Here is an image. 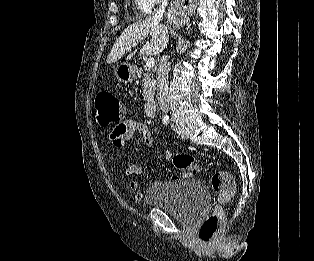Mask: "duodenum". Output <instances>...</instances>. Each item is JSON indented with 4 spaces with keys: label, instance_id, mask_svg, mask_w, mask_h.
Wrapping results in <instances>:
<instances>
[{
    "label": "duodenum",
    "instance_id": "obj_1",
    "mask_svg": "<svg viewBox=\"0 0 314 261\" xmlns=\"http://www.w3.org/2000/svg\"><path fill=\"white\" fill-rule=\"evenodd\" d=\"M144 113L147 117L153 118L156 113V106L153 101H147L144 105Z\"/></svg>",
    "mask_w": 314,
    "mask_h": 261
}]
</instances>
